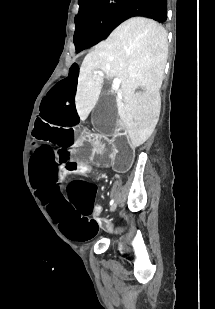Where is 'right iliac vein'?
Returning a JSON list of instances; mask_svg holds the SVG:
<instances>
[{
	"instance_id": "63e3f726",
	"label": "right iliac vein",
	"mask_w": 215,
	"mask_h": 309,
	"mask_svg": "<svg viewBox=\"0 0 215 309\" xmlns=\"http://www.w3.org/2000/svg\"><path fill=\"white\" fill-rule=\"evenodd\" d=\"M116 207H117V204L114 203V204L111 206L110 210H111V211H114V210L116 209Z\"/></svg>"
}]
</instances>
